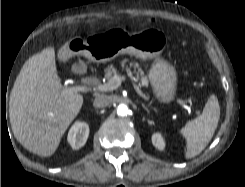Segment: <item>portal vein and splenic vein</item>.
<instances>
[{
    "label": "portal vein and splenic vein",
    "instance_id": "1",
    "mask_svg": "<svg viewBox=\"0 0 245 187\" xmlns=\"http://www.w3.org/2000/svg\"><path fill=\"white\" fill-rule=\"evenodd\" d=\"M129 75H131V73H129ZM125 80V76H120V75H114L113 78L111 80H109V82L105 83V84H100L96 87H93V90H98V91H112L117 89L122 81ZM131 82L133 84L134 89L136 90V92L144 97L146 100H149L147 96H145L143 94V92L141 91V89L139 88V86L135 83V78L131 77ZM74 91L78 92V91H87V90H91V88H88L86 86H76L73 88ZM177 103L180 104L183 108L188 109L189 106L186 104V102L182 101V100H177Z\"/></svg>",
    "mask_w": 245,
    "mask_h": 187
}]
</instances>
